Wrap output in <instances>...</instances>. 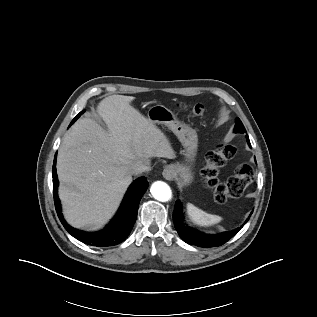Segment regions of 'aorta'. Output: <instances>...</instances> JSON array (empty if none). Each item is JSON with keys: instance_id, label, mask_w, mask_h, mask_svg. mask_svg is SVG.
<instances>
[{"instance_id": "obj_1", "label": "aorta", "mask_w": 317, "mask_h": 317, "mask_svg": "<svg viewBox=\"0 0 317 317\" xmlns=\"http://www.w3.org/2000/svg\"><path fill=\"white\" fill-rule=\"evenodd\" d=\"M151 195L159 202H168L172 198V191L168 184L156 181L151 185Z\"/></svg>"}]
</instances>
